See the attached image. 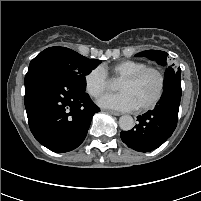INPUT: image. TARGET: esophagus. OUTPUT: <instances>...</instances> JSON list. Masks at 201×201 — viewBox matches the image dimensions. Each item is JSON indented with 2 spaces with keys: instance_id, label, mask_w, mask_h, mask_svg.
Returning a JSON list of instances; mask_svg holds the SVG:
<instances>
[{
  "instance_id": "34e87169",
  "label": "esophagus",
  "mask_w": 201,
  "mask_h": 201,
  "mask_svg": "<svg viewBox=\"0 0 201 201\" xmlns=\"http://www.w3.org/2000/svg\"><path fill=\"white\" fill-rule=\"evenodd\" d=\"M106 112L111 114V115H114V116H120L121 115V113L116 112V111H112V110H106Z\"/></svg>"
}]
</instances>
